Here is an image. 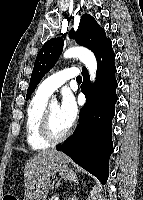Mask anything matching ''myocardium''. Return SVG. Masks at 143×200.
<instances>
[{
  "label": "myocardium",
  "mask_w": 143,
  "mask_h": 200,
  "mask_svg": "<svg viewBox=\"0 0 143 200\" xmlns=\"http://www.w3.org/2000/svg\"><path fill=\"white\" fill-rule=\"evenodd\" d=\"M71 133V127H69L65 133L60 136L53 134L50 127V105H46L42 113L39 123V134L41 138L49 144H57L64 141Z\"/></svg>",
  "instance_id": "f54148a6"
}]
</instances>
